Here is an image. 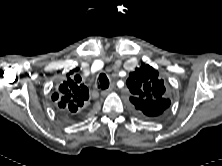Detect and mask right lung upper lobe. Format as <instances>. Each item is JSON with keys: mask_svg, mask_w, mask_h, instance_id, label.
I'll return each mask as SVG.
<instances>
[{"mask_svg": "<svg viewBox=\"0 0 222 166\" xmlns=\"http://www.w3.org/2000/svg\"><path fill=\"white\" fill-rule=\"evenodd\" d=\"M77 71L76 68L67 74V79L59 86V92L52 97L57 101L61 112L69 115L74 114L78 109L81 110L84 101L89 98L88 88L80 84L81 78Z\"/></svg>", "mask_w": 222, "mask_h": 166, "instance_id": "cb5924a9", "label": "right lung upper lobe"}]
</instances>
